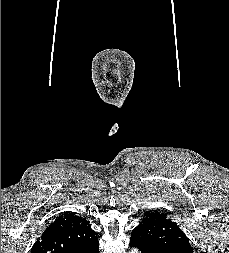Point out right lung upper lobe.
I'll list each match as a JSON object with an SVG mask.
<instances>
[{
    "instance_id": "cb5924a9",
    "label": "right lung upper lobe",
    "mask_w": 229,
    "mask_h": 253,
    "mask_svg": "<svg viewBox=\"0 0 229 253\" xmlns=\"http://www.w3.org/2000/svg\"><path fill=\"white\" fill-rule=\"evenodd\" d=\"M97 242L89 221L65 212L46 228L31 253H79Z\"/></svg>"
}]
</instances>
